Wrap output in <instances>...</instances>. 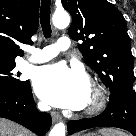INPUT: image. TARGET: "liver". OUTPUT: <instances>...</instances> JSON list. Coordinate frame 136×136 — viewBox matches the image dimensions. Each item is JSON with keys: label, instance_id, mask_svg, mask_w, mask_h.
<instances>
[{"label": "liver", "instance_id": "obj_1", "mask_svg": "<svg viewBox=\"0 0 136 136\" xmlns=\"http://www.w3.org/2000/svg\"><path fill=\"white\" fill-rule=\"evenodd\" d=\"M0 136H32V135L22 126L7 119L0 118Z\"/></svg>", "mask_w": 136, "mask_h": 136}]
</instances>
